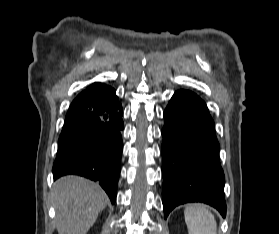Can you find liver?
Returning <instances> with one entry per match:
<instances>
[{
    "instance_id": "liver-1",
    "label": "liver",
    "mask_w": 279,
    "mask_h": 234,
    "mask_svg": "<svg viewBox=\"0 0 279 234\" xmlns=\"http://www.w3.org/2000/svg\"><path fill=\"white\" fill-rule=\"evenodd\" d=\"M53 196L59 234H86L108 203L98 184L78 176L57 180Z\"/></svg>"
}]
</instances>
